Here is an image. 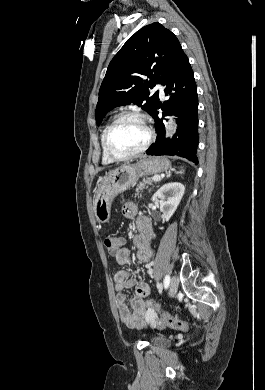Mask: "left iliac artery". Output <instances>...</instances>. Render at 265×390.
I'll return each mask as SVG.
<instances>
[{
  "label": "left iliac artery",
  "instance_id": "44dca946",
  "mask_svg": "<svg viewBox=\"0 0 265 390\" xmlns=\"http://www.w3.org/2000/svg\"><path fill=\"white\" fill-rule=\"evenodd\" d=\"M169 283H170V277L168 275H166L165 279H164V287L167 288L169 286ZM157 287H158L159 292H161L162 285L160 283H158Z\"/></svg>",
  "mask_w": 265,
  "mask_h": 390
}]
</instances>
